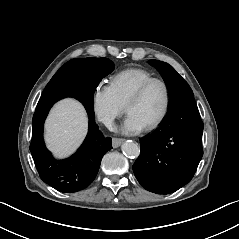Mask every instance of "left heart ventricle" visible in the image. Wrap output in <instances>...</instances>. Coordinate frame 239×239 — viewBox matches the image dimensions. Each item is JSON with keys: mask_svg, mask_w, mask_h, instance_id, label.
I'll use <instances>...</instances> for the list:
<instances>
[{"mask_svg": "<svg viewBox=\"0 0 239 239\" xmlns=\"http://www.w3.org/2000/svg\"><path fill=\"white\" fill-rule=\"evenodd\" d=\"M164 106V87L160 83H154L148 88L144 96L130 107L129 113L135 115L144 126H147L161 115Z\"/></svg>", "mask_w": 239, "mask_h": 239, "instance_id": "b2bd125f", "label": "left heart ventricle"}]
</instances>
